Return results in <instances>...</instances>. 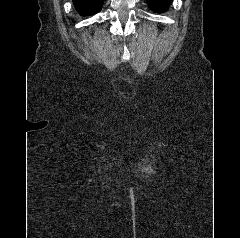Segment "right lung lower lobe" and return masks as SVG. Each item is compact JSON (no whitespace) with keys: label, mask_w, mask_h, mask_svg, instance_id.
<instances>
[{"label":"right lung lower lobe","mask_w":240,"mask_h":238,"mask_svg":"<svg viewBox=\"0 0 240 238\" xmlns=\"http://www.w3.org/2000/svg\"><path fill=\"white\" fill-rule=\"evenodd\" d=\"M104 0H73L76 10L80 15H92L99 12Z\"/></svg>","instance_id":"1"}]
</instances>
